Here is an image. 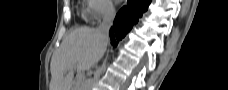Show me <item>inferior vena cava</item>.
<instances>
[{
	"label": "inferior vena cava",
	"instance_id": "obj_1",
	"mask_svg": "<svg viewBox=\"0 0 228 90\" xmlns=\"http://www.w3.org/2000/svg\"><path fill=\"white\" fill-rule=\"evenodd\" d=\"M115 18V9L112 5H108L103 15V20L97 28L100 38L104 41L108 40L109 29Z\"/></svg>",
	"mask_w": 228,
	"mask_h": 90
}]
</instances>
